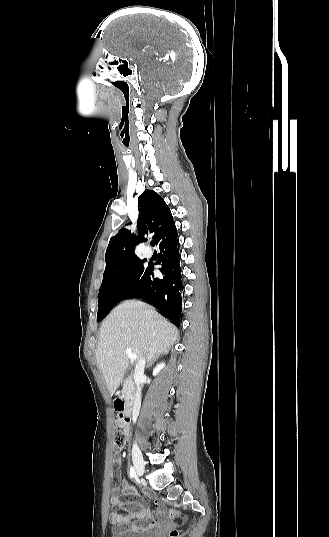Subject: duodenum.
<instances>
[{
	"label": "duodenum",
	"instance_id": "1",
	"mask_svg": "<svg viewBox=\"0 0 329 537\" xmlns=\"http://www.w3.org/2000/svg\"><path fill=\"white\" fill-rule=\"evenodd\" d=\"M115 408L125 417H130L133 412V402L130 399L117 398L114 402Z\"/></svg>",
	"mask_w": 329,
	"mask_h": 537
}]
</instances>
